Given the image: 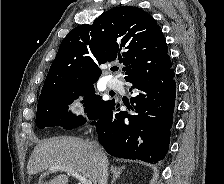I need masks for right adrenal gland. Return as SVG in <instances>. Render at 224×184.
Segmentation results:
<instances>
[{
    "label": "right adrenal gland",
    "instance_id": "2a0ac1e0",
    "mask_svg": "<svg viewBox=\"0 0 224 184\" xmlns=\"http://www.w3.org/2000/svg\"><path fill=\"white\" fill-rule=\"evenodd\" d=\"M124 168H125V166H122L120 168H117L114 165L111 166V172L113 174L111 184H114L115 181L117 180V178L120 177V174Z\"/></svg>",
    "mask_w": 224,
    "mask_h": 184
}]
</instances>
